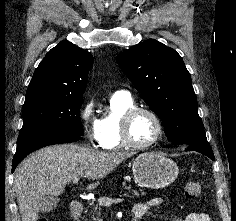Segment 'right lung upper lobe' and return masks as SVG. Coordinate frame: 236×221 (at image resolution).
Instances as JSON below:
<instances>
[{
	"label": "right lung upper lobe",
	"mask_w": 236,
	"mask_h": 221,
	"mask_svg": "<svg viewBox=\"0 0 236 221\" xmlns=\"http://www.w3.org/2000/svg\"><path fill=\"white\" fill-rule=\"evenodd\" d=\"M93 56L68 41H61L40 62L26 95L43 93L82 96Z\"/></svg>",
	"instance_id": "1"
}]
</instances>
